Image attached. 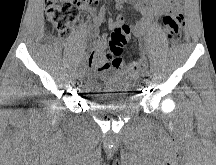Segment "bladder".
<instances>
[{
    "label": "bladder",
    "instance_id": "bladder-1",
    "mask_svg": "<svg viewBox=\"0 0 216 165\" xmlns=\"http://www.w3.org/2000/svg\"><path fill=\"white\" fill-rule=\"evenodd\" d=\"M84 93L93 111H122L135 106L137 96L131 91L133 82L128 76L114 73L112 76L86 75Z\"/></svg>",
    "mask_w": 216,
    "mask_h": 165
}]
</instances>
